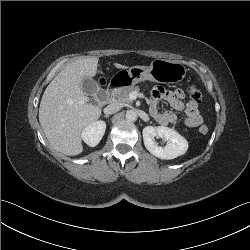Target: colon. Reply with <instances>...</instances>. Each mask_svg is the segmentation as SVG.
Here are the masks:
<instances>
[{
    "instance_id": "obj_1",
    "label": "colon",
    "mask_w": 250,
    "mask_h": 250,
    "mask_svg": "<svg viewBox=\"0 0 250 250\" xmlns=\"http://www.w3.org/2000/svg\"><path fill=\"white\" fill-rule=\"evenodd\" d=\"M187 94L189 98L195 102V103H200L202 99L201 92L198 90V88L194 85L190 86L187 88ZM199 132L201 134H207L208 133V127L203 125L199 128Z\"/></svg>"
}]
</instances>
